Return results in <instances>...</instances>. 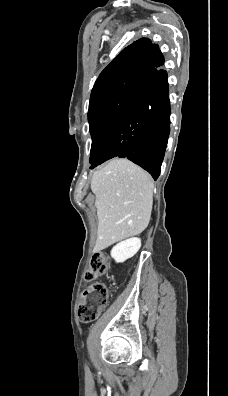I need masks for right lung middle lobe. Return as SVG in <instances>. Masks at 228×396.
I'll return each mask as SVG.
<instances>
[{"label": "right lung middle lobe", "mask_w": 228, "mask_h": 396, "mask_svg": "<svg viewBox=\"0 0 228 396\" xmlns=\"http://www.w3.org/2000/svg\"><path fill=\"white\" fill-rule=\"evenodd\" d=\"M145 74V70H137L107 80L92 90L88 111L90 133L92 136L91 165L95 161L112 124L131 98Z\"/></svg>", "instance_id": "dd1d6c3e"}]
</instances>
